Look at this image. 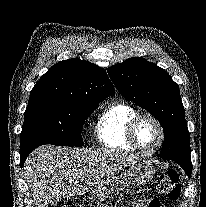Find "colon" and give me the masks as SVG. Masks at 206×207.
<instances>
[{
    "label": "colon",
    "instance_id": "5ec220e1",
    "mask_svg": "<svg viewBox=\"0 0 206 207\" xmlns=\"http://www.w3.org/2000/svg\"><path fill=\"white\" fill-rule=\"evenodd\" d=\"M158 193L170 200H176L180 196L181 185L178 173L175 170H167L160 174L156 184ZM149 207H161L158 199H152Z\"/></svg>",
    "mask_w": 206,
    "mask_h": 207
}]
</instances>
